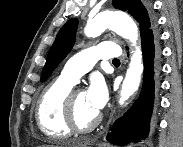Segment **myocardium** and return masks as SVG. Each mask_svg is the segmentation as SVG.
<instances>
[{
	"label": "myocardium",
	"mask_w": 183,
	"mask_h": 147,
	"mask_svg": "<svg viewBox=\"0 0 183 147\" xmlns=\"http://www.w3.org/2000/svg\"><path fill=\"white\" fill-rule=\"evenodd\" d=\"M81 90H71L65 100V121L72 132L84 134L93 131L101 122L102 116L100 113L86 126L78 124L75 116V96Z\"/></svg>",
	"instance_id": "1"
}]
</instances>
